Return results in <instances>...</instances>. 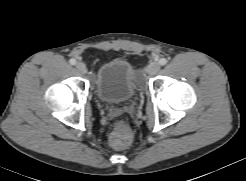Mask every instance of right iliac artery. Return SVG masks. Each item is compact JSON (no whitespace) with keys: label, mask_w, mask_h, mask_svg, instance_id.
Instances as JSON below:
<instances>
[{"label":"right iliac artery","mask_w":246,"mask_h":181,"mask_svg":"<svg viewBox=\"0 0 246 181\" xmlns=\"http://www.w3.org/2000/svg\"><path fill=\"white\" fill-rule=\"evenodd\" d=\"M69 63H70L71 65H75V64H76V60L72 58V59L69 60Z\"/></svg>","instance_id":"right-iliac-artery-1"}]
</instances>
